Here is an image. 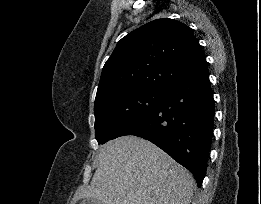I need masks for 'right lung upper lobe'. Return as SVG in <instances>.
<instances>
[{"mask_svg": "<svg viewBox=\"0 0 261 204\" xmlns=\"http://www.w3.org/2000/svg\"><path fill=\"white\" fill-rule=\"evenodd\" d=\"M204 62L187 25L169 18L151 21L117 43L103 67L95 103L120 90L165 91Z\"/></svg>", "mask_w": 261, "mask_h": 204, "instance_id": "right-lung-upper-lobe-1", "label": "right lung upper lobe"}]
</instances>
